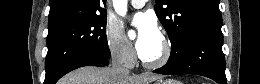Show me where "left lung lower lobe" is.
Wrapping results in <instances>:
<instances>
[{
    "mask_svg": "<svg viewBox=\"0 0 260 84\" xmlns=\"http://www.w3.org/2000/svg\"><path fill=\"white\" fill-rule=\"evenodd\" d=\"M221 29H206L192 34L182 45L177 56L163 67L154 70L159 74H196L227 84L225 57L222 52Z\"/></svg>",
    "mask_w": 260,
    "mask_h": 84,
    "instance_id": "1",
    "label": "left lung lower lobe"
}]
</instances>
